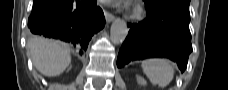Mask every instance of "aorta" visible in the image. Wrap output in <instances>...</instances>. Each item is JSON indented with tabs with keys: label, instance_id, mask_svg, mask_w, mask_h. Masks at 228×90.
Masks as SVG:
<instances>
[{
	"label": "aorta",
	"instance_id": "762f6f07",
	"mask_svg": "<svg viewBox=\"0 0 228 90\" xmlns=\"http://www.w3.org/2000/svg\"><path fill=\"white\" fill-rule=\"evenodd\" d=\"M128 34V28L125 21L121 19H116L110 30V39L114 44H121L124 42Z\"/></svg>",
	"mask_w": 228,
	"mask_h": 90
}]
</instances>
